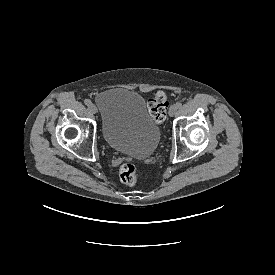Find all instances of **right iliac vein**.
I'll return each mask as SVG.
<instances>
[{
  "label": "right iliac vein",
  "mask_w": 275,
  "mask_h": 275,
  "mask_svg": "<svg viewBox=\"0 0 275 275\" xmlns=\"http://www.w3.org/2000/svg\"><path fill=\"white\" fill-rule=\"evenodd\" d=\"M89 108H90V110H91V112L92 113H96L97 112V108H96V106L94 105V104H91L90 106H89Z\"/></svg>",
  "instance_id": "obj_1"
}]
</instances>
